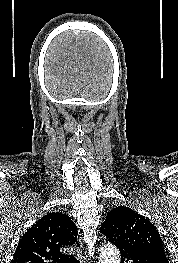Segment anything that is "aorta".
<instances>
[{"label": "aorta", "mask_w": 178, "mask_h": 263, "mask_svg": "<svg viewBox=\"0 0 178 263\" xmlns=\"http://www.w3.org/2000/svg\"><path fill=\"white\" fill-rule=\"evenodd\" d=\"M99 263H120L118 249L110 243L103 245L100 250Z\"/></svg>", "instance_id": "obj_1"}]
</instances>
